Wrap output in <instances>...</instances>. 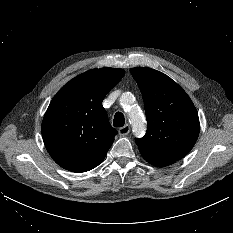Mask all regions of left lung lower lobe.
Wrapping results in <instances>:
<instances>
[{
	"mask_svg": "<svg viewBox=\"0 0 233 233\" xmlns=\"http://www.w3.org/2000/svg\"><path fill=\"white\" fill-rule=\"evenodd\" d=\"M141 155L143 156V158L149 162L150 164L157 166V167H164L170 164L175 163L176 161H172V160H167V159H163V158H156L153 156H147L143 153H141Z\"/></svg>",
	"mask_w": 233,
	"mask_h": 233,
	"instance_id": "0a47b994",
	"label": "left lung lower lobe"
}]
</instances>
